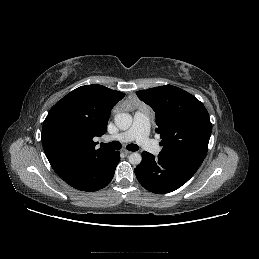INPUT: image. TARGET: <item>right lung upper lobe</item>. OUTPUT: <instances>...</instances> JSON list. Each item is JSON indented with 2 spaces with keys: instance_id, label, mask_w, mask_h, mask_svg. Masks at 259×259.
<instances>
[{
  "instance_id": "1",
  "label": "right lung upper lobe",
  "mask_w": 259,
  "mask_h": 259,
  "mask_svg": "<svg viewBox=\"0 0 259 259\" xmlns=\"http://www.w3.org/2000/svg\"><path fill=\"white\" fill-rule=\"evenodd\" d=\"M124 96L102 85H85L71 91L51 108L43 123L42 145L60 178L113 152L95 149L97 143L93 138L106 132L110 111Z\"/></svg>"
}]
</instances>
